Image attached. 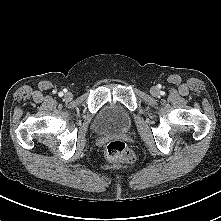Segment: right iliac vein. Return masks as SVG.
<instances>
[{"mask_svg": "<svg viewBox=\"0 0 221 221\" xmlns=\"http://www.w3.org/2000/svg\"><path fill=\"white\" fill-rule=\"evenodd\" d=\"M65 98H66L67 100L72 99V94H71L70 92H67V93L65 94Z\"/></svg>", "mask_w": 221, "mask_h": 221, "instance_id": "1", "label": "right iliac vein"}]
</instances>
